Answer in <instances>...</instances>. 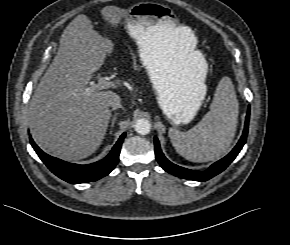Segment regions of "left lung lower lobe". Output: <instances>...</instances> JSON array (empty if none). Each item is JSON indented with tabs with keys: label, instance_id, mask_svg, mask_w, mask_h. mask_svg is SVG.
Listing matches in <instances>:
<instances>
[{
	"label": "left lung lower lobe",
	"instance_id": "1",
	"mask_svg": "<svg viewBox=\"0 0 290 245\" xmlns=\"http://www.w3.org/2000/svg\"><path fill=\"white\" fill-rule=\"evenodd\" d=\"M248 123H249V115L246 116L243 135L240 138L238 144L235 146V148L226 157L211 165L210 168L204 172L188 170L168 161L160 149L158 139L155 137L156 158L164 170L175 176L189 180L206 181L214 177L215 175L219 174L221 171H223L235 159V157L245 144L248 132Z\"/></svg>",
	"mask_w": 290,
	"mask_h": 245
}]
</instances>
